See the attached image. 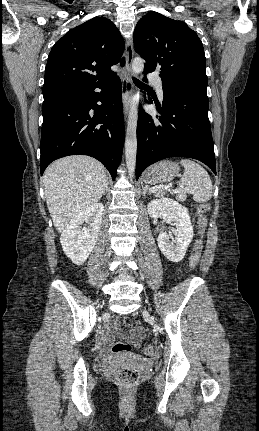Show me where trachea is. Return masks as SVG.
I'll list each match as a JSON object with an SVG mask.
<instances>
[{"instance_id": "obj_1", "label": "trachea", "mask_w": 259, "mask_h": 431, "mask_svg": "<svg viewBox=\"0 0 259 431\" xmlns=\"http://www.w3.org/2000/svg\"><path fill=\"white\" fill-rule=\"evenodd\" d=\"M125 64V58L122 59L121 65L123 66ZM134 83L139 84V85H143V83L141 81H139L136 78H133Z\"/></svg>"}]
</instances>
